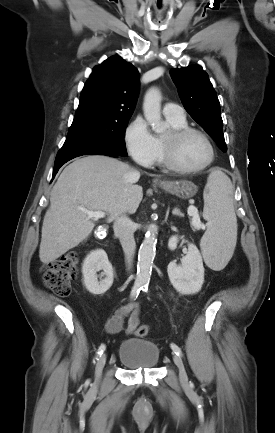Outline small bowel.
Listing matches in <instances>:
<instances>
[{
  "mask_svg": "<svg viewBox=\"0 0 275 433\" xmlns=\"http://www.w3.org/2000/svg\"><path fill=\"white\" fill-rule=\"evenodd\" d=\"M127 320L125 332L128 335L133 334L140 322V305L139 303H129L119 307L114 315L108 319L106 330L110 334H116L123 329Z\"/></svg>",
  "mask_w": 275,
  "mask_h": 433,
  "instance_id": "obj_1",
  "label": "small bowel"
}]
</instances>
